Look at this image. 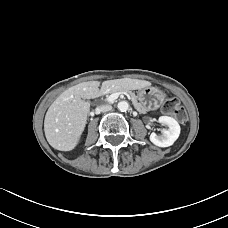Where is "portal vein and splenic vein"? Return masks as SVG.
I'll return each mask as SVG.
<instances>
[{"mask_svg": "<svg viewBox=\"0 0 228 228\" xmlns=\"http://www.w3.org/2000/svg\"><path fill=\"white\" fill-rule=\"evenodd\" d=\"M123 94H125L129 98V94L128 93L124 92ZM119 95H120V93H113L106 100L108 102H114L119 97Z\"/></svg>", "mask_w": 228, "mask_h": 228, "instance_id": "18ae733b", "label": "portal vein and splenic vein"}]
</instances>
